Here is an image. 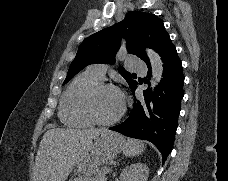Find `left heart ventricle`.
<instances>
[{"label":"left heart ventricle","instance_id":"b2bd125f","mask_svg":"<svg viewBox=\"0 0 228 181\" xmlns=\"http://www.w3.org/2000/svg\"><path fill=\"white\" fill-rule=\"evenodd\" d=\"M122 105L119 93L115 89H104L98 93L95 109L101 118H111L116 115Z\"/></svg>","mask_w":228,"mask_h":181}]
</instances>
